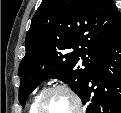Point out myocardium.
Wrapping results in <instances>:
<instances>
[{"instance_id": "f54148a6", "label": "myocardium", "mask_w": 121, "mask_h": 113, "mask_svg": "<svg viewBox=\"0 0 121 113\" xmlns=\"http://www.w3.org/2000/svg\"><path fill=\"white\" fill-rule=\"evenodd\" d=\"M56 92H64L66 93L71 100L73 101V109L72 110H81L82 109V101L80 96L76 93L75 90H73L70 86L65 84H57L54 86L49 87L48 89L44 90L43 93L39 96L34 110L36 113H40L42 110V106L46 98H48L51 94ZM73 113V112H71Z\"/></svg>"}]
</instances>
